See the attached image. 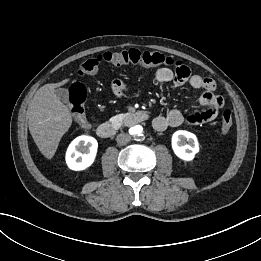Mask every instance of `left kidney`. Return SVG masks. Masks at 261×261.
I'll list each match as a JSON object with an SVG mask.
<instances>
[{
  "mask_svg": "<svg viewBox=\"0 0 261 261\" xmlns=\"http://www.w3.org/2000/svg\"><path fill=\"white\" fill-rule=\"evenodd\" d=\"M172 149L180 159L191 161L194 159L196 153L199 152V143L195 134L179 130L172 136Z\"/></svg>",
  "mask_w": 261,
  "mask_h": 261,
  "instance_id": "5707ae66",
  "label": "left kidney"
}]
</instances>
